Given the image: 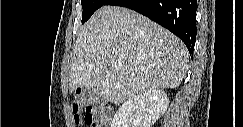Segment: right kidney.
Masks as SVG:
<instances>
[{
	"instance_id": "ca27d5eb",
	"label": "right kidney",
	"mask_w": 243,
	"mask_h": 127,
	"mask_svg": "<svg viewBox=\"0 0 243 127\" xmlns=\"http://www.w3.org/2000/svg\"><path fill=\"white\" fill-rule=\"evenodd\" d=\"M169 99L160 89L126 100L115 113L111 127H151L167 110Z\"/></svg>"
}]
</instances>
